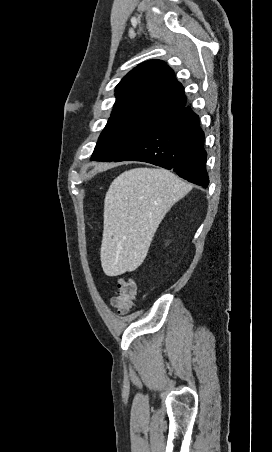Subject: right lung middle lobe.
Masks as SVG:
<instances>
[{
  "label": "right lung middle lobe",
  "mask_w": 272,
  "mask_h": 452,
  "mask_svg": "<svg viewBox=\"0 0 272 452\" xmlns=\"http://www.w3.org/2000/svg\"><path fill=\"white\" fill-rule=\"evenodd\" d=\"M159 116L148 112L111 116L99 137L91 160L114 161L129 149Z\"/></svg>",
  "instance_id": "right-lung-middle-lobe-1"
}]
</instances>
